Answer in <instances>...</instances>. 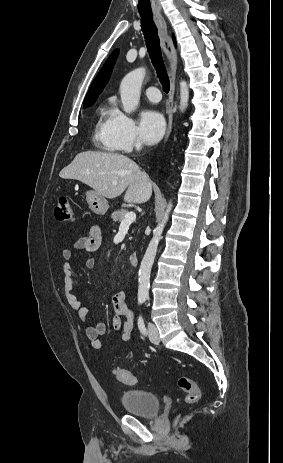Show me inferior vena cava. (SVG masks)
<instances>
[{
  "mask_svg": "<svg viewBox=\"0 0 283 463\" xmlns=\"http://www.w3.org/2000/svg\"><path fill=\"white\" fill-rule=\"evenodd\" d=\"M141 146H142V142H141V141H137V144H136L137 150H140V149H141Z\"/></svg>",
  "mask_w": 283,
  "mask_h": 463,
  "instance_id": "602c4592",
  "label": "inferior vena cava"
}]
</instances>
